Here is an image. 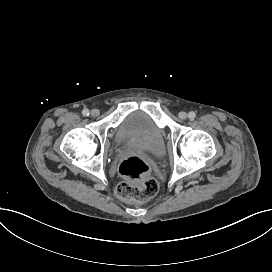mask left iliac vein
<instances>
[{
  "label": "left iliac vein",
  "mask_w": 272,
  "mask_h": 272,
  "mask_svg": "<svg viewBox=\"0 0 272 272\" xmlns=\"http://www.w3.org/2000/svg\"><path fill=\"white\" fill-rule=\"evenodd\" d=\"M179 118L184 120L188 117L187 113L184 112V111H181L179 114H178Z\"/></svg>",
  "instance_id": "1"
}]
</instances>
